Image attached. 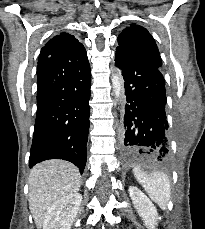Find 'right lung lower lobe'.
Returning a JSON list of instances; mask_svg holds the SVG:
<instances>
[{
    "label": "right lung lower lobe",
    "mask_w": 205,
    "mask_h": 229,
    "mask_svg": "<svg viewBox=\"0 0 205 229\" xmlns=\"http://www.w3.org/2000/svg\"><path fill=\"white\" fill-rule=\"evenodd\" d=\"M37 114L29 167L47 159H64L81 173L87 160L91 73L51 57L37 66Z\"/></svg>",
    "instance_id": "obj_1"
}]
</instances>
